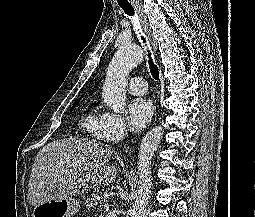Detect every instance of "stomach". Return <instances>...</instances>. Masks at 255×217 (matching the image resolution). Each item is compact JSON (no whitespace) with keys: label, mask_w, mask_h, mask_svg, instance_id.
Returning a JSON list of instances; mask_svg holds the SVG:
<instances>
[{"label":"stomach","mask_w":255,"mask_h":217,"mask_svg":"<svg viewBox=\"0 0 255 217\" xmlns=\"http://www.w3.org/2000/svg\"><path fill=\"white\" fill-rule=\"evenodd\" d=\"M79 209L80 202L74 198L57 199L34 207L33 217H73Z\"/></svg>","instance_id":"obj_1"}]
</instances>
